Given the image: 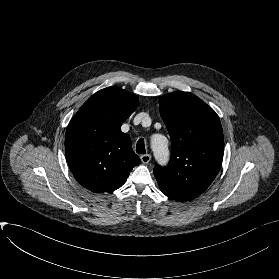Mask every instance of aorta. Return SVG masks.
<instances>
[{"label": "aorta", "instance_id": "aorta-1", "mask_svg": "<svg viewBox=\"0 0 279 279\" xmlns=\"http://www.w3.org/2000/svg\"><path fill=\"white\" fill-rule=\"evenodd\" d=\"M151 148L155 159L159 163H166L169 157L167 139L163 135L156 134L151 139Z\"/></svg>", "mask_w": 279, "mask_h": 279}]
</instances>
